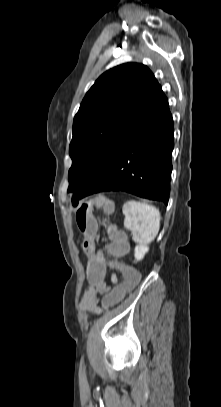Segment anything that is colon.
I'll return each mask as SVG.
<instances>
[{
  "mask_svg": "<svg viewBox=\"0 0 221 407\" xmlns=\"http://www.w3.org/2000/svg\"><path fill=\"white\" fill-rule=\"evenodd\" d=\"M102 208L106 213L113 212V203L103 196H98L92 200L84 202L76 211V222L79 230L83 234V251L88 256L86 262L87 283L89 286H104L108 269L104 265L102 253L96 252L95 238L97 234V222L93 216V208ZM107 234L110 240L108 252L113 256H120L127 251L128 243L123 232L114 226H109ZM120 276L124 282H118L111 289L102 295L100 306L104 313H109L111 308H116L117 304L125 301L126 295L136 289V284L140 282V272L136 265H121L119 267Z\"/></svg>",
  "mask_w": 221,
  "mask_h": 407,
  "instance_id": "obj_1",
  "label": "colon"
}]
</instances>
